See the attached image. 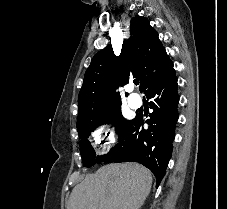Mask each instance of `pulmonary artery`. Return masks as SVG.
I'll return each mask as SVG.
<instances>
[{
	"mask_svg": "<svg viewBox=\"0 0 227 209\" xmlns=\"http://www.w3.org/2000/svg\"><path fill=\"white\" fill-rule=\"evenodd\" d=\"M129 97L127 98V102L133 107L138 108L141 106L144 98L139 95V92L136 91L135 87L127 88Z\"/></svg>",
	"mask_w": 227,
	"mask_h": 209,
	"instance_id": "obj_1",
	"label": "pulmonary artery"
}]
</instances>
